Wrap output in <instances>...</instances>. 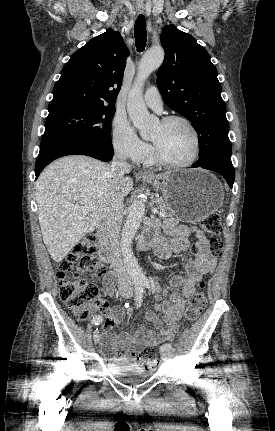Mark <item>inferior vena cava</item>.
<instances>
[{"label":"inferior vena cava","mask_w":275,"mask_h":431,"mask_svg":"<svg viewBox=\"0 0 275 431\" xmlns=\"http://www.w3.org/2000/svg\"><path fill=\"white\" fill-rule=\"evenodd\" d=\"M130 170L131 166L126 162V155L122 152H116L111 164V172L114 175V179H121L125 172H129ZM123 200L124 197L119 192H113L106 204L103 219L111 245V265L118 277L119 290L131 292L132 283L119 248Z\"/></svg>","instance_id":"602c4592"}]
</instances>
